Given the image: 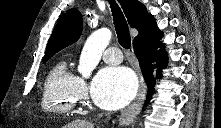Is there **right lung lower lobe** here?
Listing matches in <instances>:
<instances>
[{
	"label": "right lung lower lobe",
	"mask_w": 221,
	"mask_h": 128,
	"mask_svg": "<svg viewBox=\"0 0 221 128\" xmlns=\"http://www.w3.org/2000/svg\"><path fill=\"white\" fill-rule=\"evenodd\" d=\"M161 47H163V44L159 40L150 43H134V52L139 60L145 81L149 86L148 100L154 93L153 87L155 85L153 70L156 65H152V62L158 61L159 68H164L167 64V53L163 49L157 50ZM156 77H161L160 71L156 74Z\"/></svg>",
	"instance_id": "1"
}]
</instances>
